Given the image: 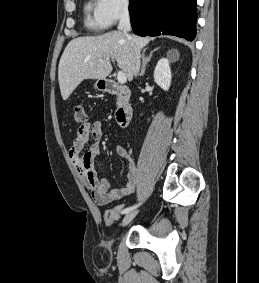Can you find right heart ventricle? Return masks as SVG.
Here are the masks:
<instances>
[{"instance_id":"obj_1","label":"right heart ventricle","mask_w":259,"mask_h":283,"mask_svg":"<svg viewBox=\"0 0 259 283\" xmlns=\"http://www.w3.org/2000/svg\"><path fill=\"white\" fill-rule=\"evenodd\" d=\"M86 22L95 31L104 29V25L97 15V9L89 3L86 6Z\"/></svg>"}]
</instances>
